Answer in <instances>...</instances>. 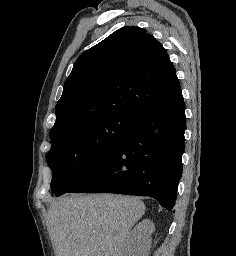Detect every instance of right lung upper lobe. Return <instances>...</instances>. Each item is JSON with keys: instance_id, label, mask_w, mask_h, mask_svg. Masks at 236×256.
<instances>
[{"instance_id": "cb5924a9", "label": "right lung upper lobe", "mask_w": 236, "mask_h": 256, "mask_svg": "<svg viewBox=\"0 0 236 256\" xmlns=\"http://www.w3.org/2000/svg\"><path fill=\"white\" fill-rule=\"evenodd\" d=\"M180 90L163 46L143 28H120L75 62L56 105L50 135L114 114L139 119Z\"/></svg>"}]
</instances>
